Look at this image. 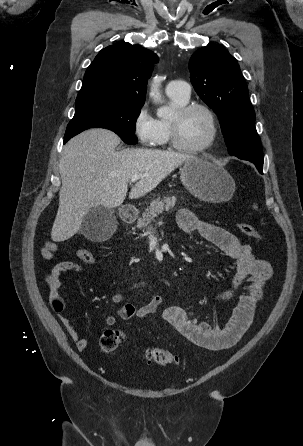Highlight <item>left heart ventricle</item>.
<instances>
[{
    "instance_id": "obj_1",
    "label": "left heart ventricle",
    "mask_w": 303,
    "mask_h": 446,
    "mask_svg": "<svg viewBox=\"0 0 303 446\" xmlns=\"http://www.w3.org/2000/svg\"><path fill=\"white\" fill-rule=\"evenodd\" d=\"M210 133L208 117L201 110L192 111L180 120L179 138L184 145L200 146L208 140Z\"/></svg>"
}]
</instances>
